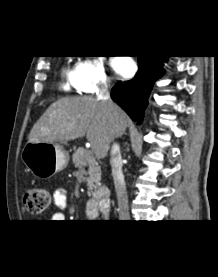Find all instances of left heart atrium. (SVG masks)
Returning <instances> with one entry per match:
<instances>
[{
  "label": "left heart atrium",
  "mask_w": 218,
  "mask_h": 277,
  "mask_svg": "<svg viewBox=\"0 0 218 277\" xmlns=\"http://www.w3.org/2000/svg\"><path fill=\"white\" fill-rule=\"evenodd\" d=\"M112 67L117 74L124 75L131 68V62L125 58H113Z\"/></svg>",
  "instance_id": "obj_1"
}]
</instances>
